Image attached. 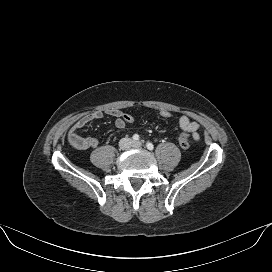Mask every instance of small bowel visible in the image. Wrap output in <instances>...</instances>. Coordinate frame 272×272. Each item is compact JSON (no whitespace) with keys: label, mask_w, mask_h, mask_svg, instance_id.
Wrapping results in <instances>:
<instances>
[{"label":"small bowel","mask_w":272,"mask_h":272,"mask_svg":"<svg viewBox=\"0 0 272 272\" xmlns=\"http://www.w3.org/2000/svg\"><path fill=\"white\" fill-rule=\"evenodd\" d=\"M107 114L115 118V127L118 129H122L126 126L125 121L122 118L123 113L117 109H111L106 111ZM104 112L102 111H94L88 113L81 118H79L69 129L68 131V141L69 143L78 150H89L96 149L99 146V140L94 137H82L80 135V131L90 122L99 120L103 118ZM179 126L180 128L191 134L193 139H199V124L193 120H191L187 115H181L179 117Z\"/></svg>","instance_id":"obj_1"}]
</instances>
